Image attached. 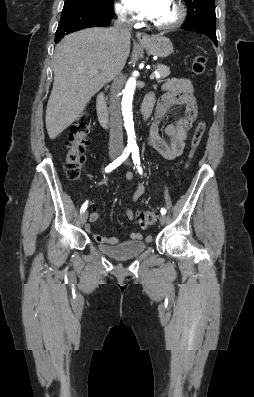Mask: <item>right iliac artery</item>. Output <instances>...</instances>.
I'll return each mask as SVG.
<instances>
[{
  "instance_id": "right-iliac-artery-1",
  "label": "right iliac artery",
  "mask_w": 254,
  "mask_h": 397,
  "mask_svg": "<svg viewBox=\"0 0 254 397\" xmlns=\"http://www.w3.org/2000/svg\"><path fill=\"white\" fill-rule=\"evenodd\" d=\"M131 149L130 148H126L123 152V154L117 158L115 161H113L111 164H109L106 168H105V172H111L113 169H115L116 167H118L130 154ZM87 209V202H85L82 206H81V212H84Z\"/></svg>"
}]
</instances>
